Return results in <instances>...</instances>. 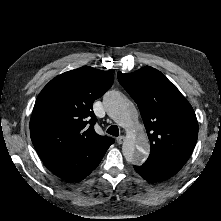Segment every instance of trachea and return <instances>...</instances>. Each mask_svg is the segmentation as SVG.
<instances>
[{
    "instance_id": "1",
    "label": "trachea",
    "mask_w": 221,
    "mask_h": 221,
    "mask_svg": "<svg viewBox=\"0 0 221 221\" xmlns=\"http://www.w3.org/2000/svg\"><path fill=\"white\" fill-rule=\"evenodd\" d=\"M108 134L110 135H113V136H116L118 137L119 136V129H118V126L116 125H111L107 131H106Z\"/></svg>"
}]
</instances>
